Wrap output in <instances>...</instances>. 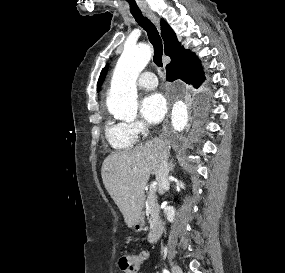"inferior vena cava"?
Segmentation results:
<instances>
[{
	"mask_svg": "<svg viewBox=\"0 0 285 273\" xmlns=\"http://www.w3.org/2000/svg\"><path fill=\"white\" fill-rule=\"evenodd\" d=\"M170 171V166L167 162V158H163L160 166H159V170H158V174L156 176V179L159 183V193L163 194L166 190V188L169 186V182H168V174Z\"/></svg>",
	"mask_w": 285,
	"mask_h": 273,
	"instance_id": "1",
	"label": "inferior vena cava"
}]
</instances>
